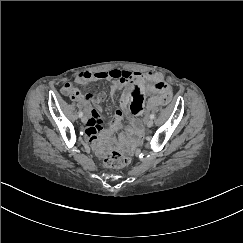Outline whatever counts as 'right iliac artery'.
Returning a JSON list of instances; mask_svg holds the SVG:
<instances>
[{
	"mask_svg": "<svg viewBox=\"0 0 243 243\" xmlns=\"http://www.w3.org/2000/svg\"><path fill=\"white\" fill-rule=\"evenodd\" d=\"M82 116H83V112L80 111V112H79V117H82Z\"/></svg>",
	"mask_w": 243,
	"mask_h": 243,
	"instance_id": "82829eb1",
	"label": "right iliac artery"
}]
</instances>
